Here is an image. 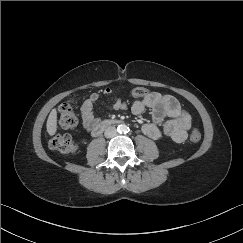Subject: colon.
Segmentation results:
<instances>
[{"label": "colon", "mask_w": 243, "mask_h": 243, "mask_svg": "<svg viewBox=\"0 0 243 243\" xmlns=\"http://www.w3.org/2000/svg\"><path fill=\"white\" fill-rule=\"evenodd\" d=\"M143 94L144 90L141 87L135 88L132 92L134 97ZM59 121L65 128L74 129L77 126V117L69 101L63 102L59 106ZM189 138L193 142H198L201 139V132L198 129H192ZM50 146L60 153H71L78 149V144L68 134H56L50 140Z\"/></svg>", "instance_id": "colon-1"}]
</instances>
